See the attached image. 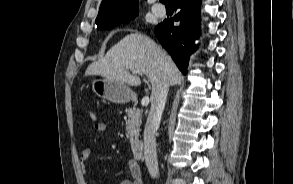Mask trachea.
<instances>
[{
	"mask_svg": "<svg viewBox=\"0 0 293 184\" xmlns=\"http://www.w3.org/2000/svg\"><path fill=\"white\" fill-rule=\"evenodd\" d=\"M160 2L163 4H170V0H160Z\"/></svg>",
	"mask_w": 293,
	"mask_h": 184,
	"instance_id": "obj_1",
	"label": "trachea"
}]
</instances>
